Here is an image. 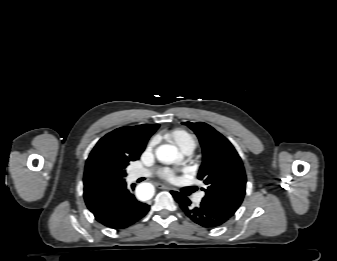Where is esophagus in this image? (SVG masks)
Returning <instances> with one entry per match:
<instances>
[{"label":"esophagus","instance_id":"34e87169","mask_svg":"<svg viewBox=\"0 0 337 261\" xmlns=\"http://www.w3.org/2000/svg\"><path fill=\"white\" fill-rule=\"evenodd\" d=\"M157 186L160 188V189H166V190H170L171 188L167 185H164V184H157Z\"/></svg>","mask_w":337,"mask_h":261}]
</instances>
